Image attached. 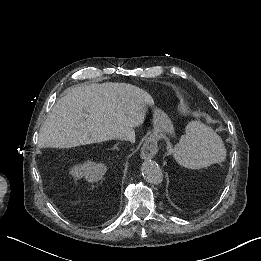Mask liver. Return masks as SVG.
<instances>
[{
  "instance_id": "6515ba94",
  "label": "liver",
  "mask_w": 261,
  "mask_h": 261,
  "mask_svg": "<svg viewBox=\"0 0 261 261\" xmlns=\"http://www.w3.org/2000/svg\"><path fill=\"white\" fill-rule=\"evenodd\" d=\"M151 96L130 84L104 83L71 87L43 123L39 143L46 148L127 140L146 122Z\"/></svg>"
}]
</instances>
